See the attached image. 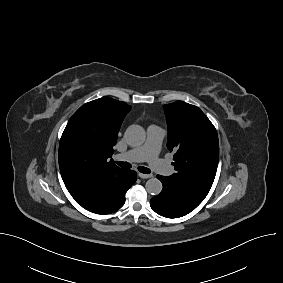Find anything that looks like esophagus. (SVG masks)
Returning <instances> with one entry per match:
<instances>
[{"label": "esophagus", "instance_id": "esophagus-1", "mask_svg": "<svg viewBox=\"0 0 283 283\" xmlns=\"http://www.w3.org/2000/svg\"><path fill=\"white\" fill-rule=\"evenodd\" d=\"M138 176L142 179H148L152 177L151 174H143V173H139Z\"/></svg>", "mask_w": 283, "mask_h": 283}]
</instances>
